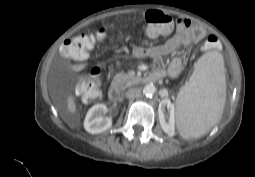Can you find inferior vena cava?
Here are the masks:
<instances>
[{
    "label": "inferior vena cava",
    "instance_id": "602c4592",
    "mask_svg": "<svg viewBox=\"0 0 255 177\" xmlns=\"http://www.w3.org/2000/svg\"><path fill=\"white\" fill-rule=\"evenodd\" d=\"M141 95V90L138 88H130L126 91L125 96L128 99L138 98Z\"/></svg>",
    "mask_w": 255,
    "mask_h": 177
}]
</instances>
